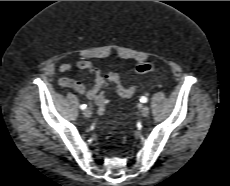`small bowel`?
Masks as SVG:
<instances>
[{
    "instance_id": "1",
    "label": "small bowel",
    "mask_w": 230,
    "mask_h": 186,
    "mask_svg": "<svg viewBox=\"0 0 230 186\" xmlns=\"http://www.w3.org/2000/svg\"><path fill=\"white\" fill-rule=\"evenodd\" d=\"M76 68L82 71H86L93 76L94 84L92 87H87L80 81L72 79L70 77H62L59 79L58 83L62 87H67L73 89L75 92L85 96L87 99L94 101L97 103L99 98H105L104 96V88L107 86L108 80L107 76H104L101 71L94 66L88 60H79L76 62ZM60 73L68 74L72 70V66L70 64H62L58 68ZM116 89L118 94L123 98H129L132 94H125L123 91L127 89V87L123 86L119 79L116 82Z\"/></svg>"
}]
</instances>
